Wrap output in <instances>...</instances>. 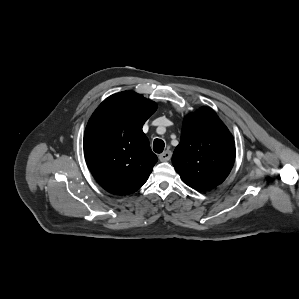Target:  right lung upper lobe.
I'll list each match as a JSON object with an SVG mask.
<instances>
[{
	"label": "right lung upper lobe",
	"mask_w": 299,
	"mask_h": 299,
	"mask_svg": "<svg viewBox=\"0 0 299 299\" xmlns=\"http://www.w3.org/2000/svg\"><path fill=\"white\" fill-rule=\"evenodd\" d=\"M156 103L123 91L105 99L84 133V155L96 181L108 192L131 194L147 181L157 162L142 131Z\"/></svg>",
	"instance_id": "cb5924a9"
}]
</instances>
